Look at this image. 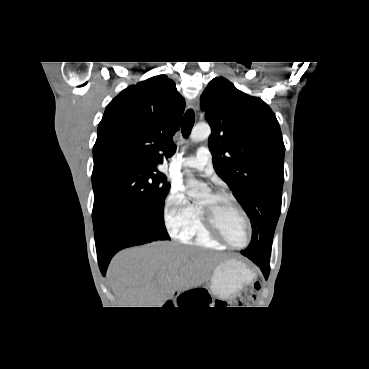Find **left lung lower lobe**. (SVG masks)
Wrapping results in <instances>:
<instances>
[{"instance_id": "obj_1", "label": "left lung lower lobe", "mask_w": 369, "mask_h": 369, "mask_svg": "<svg viewBox=\"0 0 369 369\" xmlns=\"http://www.w3.org/2000/svg\"><path fill=\"white\" fill-rule=\"evenodd\" d=\"M251 260L260 267L261 271L264 274L265 279H267L270 271L269 262L255 258H252Z\"/></svg>"}]
</instances>
